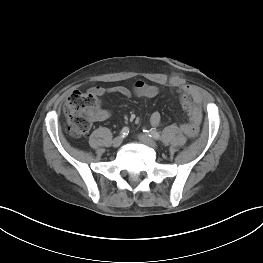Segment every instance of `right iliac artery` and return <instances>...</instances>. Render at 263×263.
<instances>
[{"label": "right iliac artery", "instance_id": "obj_1", "mask_svg": "<svg viewBox=\"0 0 263 263\" xmlns=\"http://www.w3.org/2000/svg\"><path fill=\"white\" fill-rule=\"evenodd\" d=\"M129 134V128L128 127H124L121 131V136L122 137H126Z\"/></svg>", "mask_w": 263, "mask_h": 263}]
</instances>
